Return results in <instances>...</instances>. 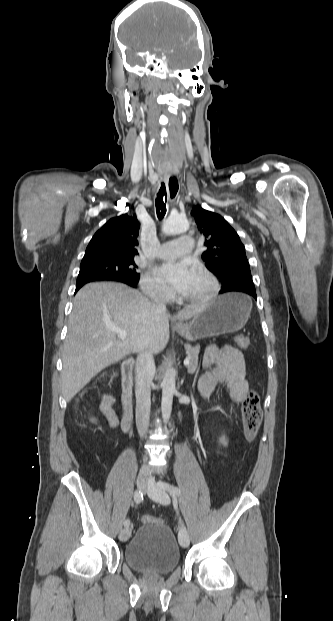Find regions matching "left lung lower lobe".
I'll return each mask as SVG.
<instances>
[{"label":"left lung lower lobe","instance_id":"obj_1","mask_svg":"<svg viewBox=\"0 0 333 621\" xmlns=\"http://www.w3.org/2000/svg\"><path fill=\"white\" fill-rule=\"evenodd\" d=\"M229 292H242V293H246L248 295H250L251 297H253L254 299H257V295H256V291H255V287H250V286H235L229 289H226L224 291H221L220 293H229Z\"/></svg>","mask_w":333,"mask_h":621}]
</instances>
